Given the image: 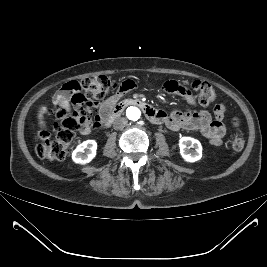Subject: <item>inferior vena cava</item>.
Returning a JSON list of instances; mask_svg holds the SVG:
<instances>
[{
    "label": "inferior vena cava",
    "instance_id": "inferior-vena-cava-1",
    "mask_svg": "<svg viewBox=\"0 0 267 267\" xmlns=\"http://www.w3.org/2000/svg\"><path fill=\"white\" fill-rule=\"evenodd\" d=\"M127 124V119L125 118H118L114 121L113 127L115 130L123 129Z\"/></svg>",
    "mask_w": 267,
    "mask_h": 267
}]
</instances>
